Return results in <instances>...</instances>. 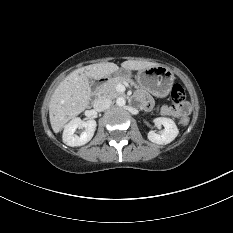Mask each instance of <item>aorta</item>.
<instances>
[{
  "instance_id": "aorta-1",
  "label": "aorta",
  "mask_w": 233,
  "mask_h": 233,
  "mask_svg": "<svg viewBox=\"0 0 233 233\" xmlns=\"http://www.w3.org/2000/svg\"><path fill=\"white\" fill-rule=\"evenodd\" d=\"M116 104H117V106H119V107L124 106V105L126 104L125 98H123V97H118L117 100H116Z\"/></svg>"
}]
</instances>
